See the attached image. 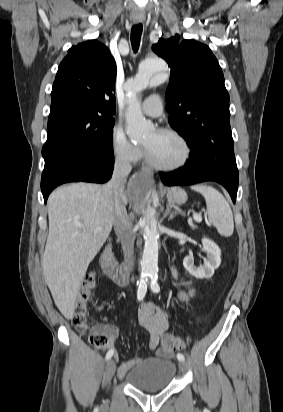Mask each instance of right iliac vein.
Here are the masks:
<instances>
[{"mask_svg":"<svg viewBox=\"0 0 283 412\" xmlns=\"http://www.w3.org/2000/svg\"><path fill=\"white\" fill-rule=\"evenodd\" d=\"M116 370V364L113 359L108 360L105 368V379L106 382H110Z\"/></svg>","mask_w":283,"mask_h":412,"instance_id":"63e3f726","label":"right iliac vein"}]
</instances>
